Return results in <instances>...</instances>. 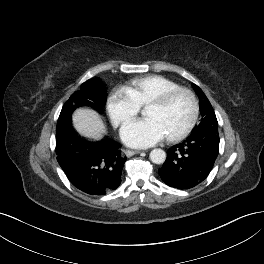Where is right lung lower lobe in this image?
I'll use <instances>...</instances> for the list:
<instances>
[{
    "mask_svg": "<svg viewBox=\"0 0 264 264\" xmlns=\"http://www.w3.org/2000/svg\"><path fill=\"white\" fill-rule=\"evenodd\" d=\"M120 147L108 137L86 141L72 126L56 137L59 165L77 189L90 195H105L120 185L126 161Z\"/></svg>",
    "mask_w": 264,
    "mask_h": 264,
    "instance_id": "1",
    "label": "right lung lower lobe"
}]
</instances>
